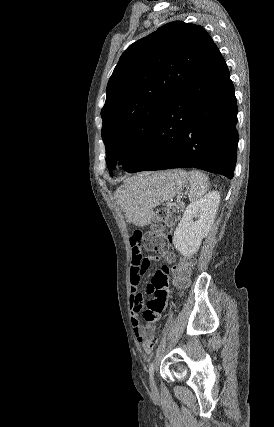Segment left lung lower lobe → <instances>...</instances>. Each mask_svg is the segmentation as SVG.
Segmentation results:
<instances>
[{"label":"left lung lower lobe","mask_w":274,"mask_h":427,"mask_svg":"<svg viewBox=\"0 0 274 427\" xmlns=\"http://www.w3.org/2000/svg\"><path fill=\"white\" fill-rule=\"evenodd\" d=\"M237 103L229 70L213 44L167 107L153 139L125 171L199 168L232 179Z\"/></svg>","instance_id":"0a47b994"}]
</instances>
